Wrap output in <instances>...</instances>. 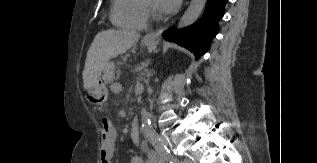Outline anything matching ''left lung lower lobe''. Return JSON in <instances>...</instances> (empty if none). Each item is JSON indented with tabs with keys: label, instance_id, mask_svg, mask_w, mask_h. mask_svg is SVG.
<instances>
[{
	"label": "left lung lower lobe",
	"instance_id": "1",
	"mask_svg": "<svg viewBox=\"0 0 317 163\" xmlns=\"http://www.w3.org/2000/svg\"><path fill=\"white\" fill-rule=\"evenodd\" d=\"M227 0H208L203 17L194 25L181 30L169 29L163 33L167 41L176 42L194 52L196 59L202 56L218 31V20L223 17Z\"/></svg>",
	"mask_w": 317,
	"mask_h": 163
}]
</instances>
